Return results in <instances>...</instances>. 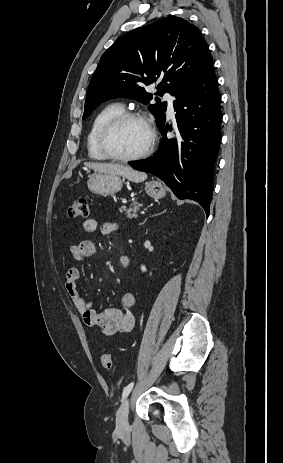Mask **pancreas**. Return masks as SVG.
Returning <instances> with one entry per match:
<instances>
[{
    "label": "pancreas",
    "instance_id": "1",
    "mask_svg": "<svg viewBox=\"0 0 283 463\" xmlns=\"http://www.w3.org/2000/svg\"><path fill=\"white\" fill-rule=\"evenodd\" d=\"M142 206V204H139V203H133L131 205H129L128 208L126 207H121L119 209V211L121 213L125 212L127 218L129 219H132V218H137L138 217V211H139V208Z\"/></svg>",
    "mask_w": 283,
    "mask_h": 463
}]
</instances>
